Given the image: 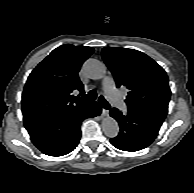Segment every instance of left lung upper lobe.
Wrapping results in <instances>:
<instances>
[{
    "label": "left lung upper lobe",
    "instance_id": "obj_1",
    "mask_svg": "<svg viewBox=\"0 0 194 193\" xmlns=\"http://www.w3.org/2000/svg\"><path fill=\"white\" fill-rule=\"evenodd\" d=\"M102 57L117 87L129 90L125 100L128 111L163 122L171 95L164 69L134 49L105 47Z\"/></svg>",
    "mask_w": 194,
    "mask_h": 193
}]
</instances>
